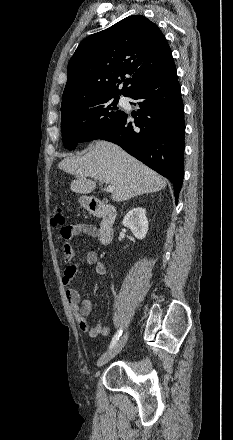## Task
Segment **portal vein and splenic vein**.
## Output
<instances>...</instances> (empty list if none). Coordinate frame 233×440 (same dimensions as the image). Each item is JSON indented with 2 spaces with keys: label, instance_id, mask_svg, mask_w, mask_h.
I'll use <instances>...</instances> for the list:
<instances>
[{
  "label": "portal vein and splenic vein",
  "instance_id": "portal-vein-and-splenic-vein-1",
  "mask_svg": "<svg viewBox=\"0 0 233 440\" xmlns=\"http://www.w3.org/2000/svg\"><path fill=\"white\" fill-rule=\"evenodd\" d=\"M113 189H114V187L111 186V185H108V186H106V187L104 188V190L107 191V192H113Z\"/></svg>",
  "mask_w": 233,
  "mask_h": 440
}]
</instances>
